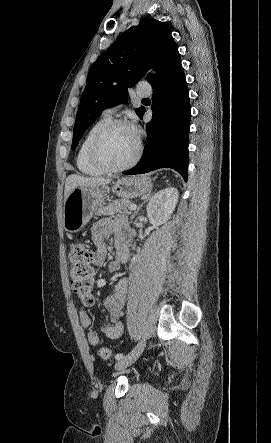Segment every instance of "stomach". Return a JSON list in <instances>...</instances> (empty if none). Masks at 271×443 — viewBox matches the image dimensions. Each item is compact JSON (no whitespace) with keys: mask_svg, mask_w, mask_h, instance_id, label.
<instances>
[{"mask_svg":"<svg viewBox=\"0 0 271 443\" xmlns=\"http://www.w3.org/2000/svg\"><path fill=\"white\" fill-rule=\"evenodd\" d=\"M153 188L152 180L147 176H137V178H120L113 184L112 192L119 198H138L143 194H149ZM108 188H74L67 196L63 208V225L66 231L76 233L83 229L84 225L92 218L98 206L107 196Z\"/></svg>","mask_w":271,"mask_h":443,"instance_id":"obj_1","label":"stomach"}]
</instances>
